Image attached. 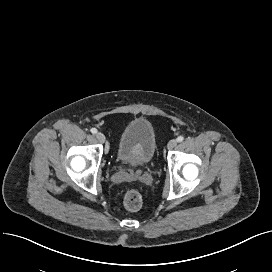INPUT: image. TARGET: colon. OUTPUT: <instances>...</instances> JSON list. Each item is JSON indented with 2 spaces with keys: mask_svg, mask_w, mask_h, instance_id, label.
<instances>
[{
  "mask_svg": "<svg viewBox=\"0 0 272 272\" xmlns=\"http://www.w3.org/2000/svg\"><path fill=\"white\" fill-rule=\"evenodd\" d=\"M142 203V194L136 189L129 190L123 198V205L129 211L139 210L142 206Z\"/></svg>",
  "mask_w": 272,
  "mask_h": 272,
  "instance_id": "5ec220e1",
  "label": "colon"
}]
</instances>
